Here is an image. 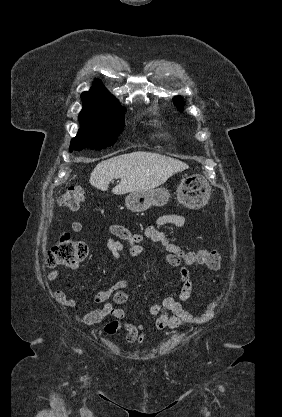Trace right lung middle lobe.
Here are the masks:
<instances>
[{"mask_svg": "<svg viewBox=\"0 0 282 417\" xmlns=\"http://www.w3.org/2000/svg\"><path fill=\"white\" fill-rule=\"evenodd\" d=\"M82 101L83 110L79 114L81 128L71 141L70 152L84 147L100 150L114 144L124 128L125 108L116 98Z\"/></svg>", "mask_w": 282, "mask_h": 417, "instance_id": "dd1d6c3e", "label": "right lung middle lobe"}]
</instances>
